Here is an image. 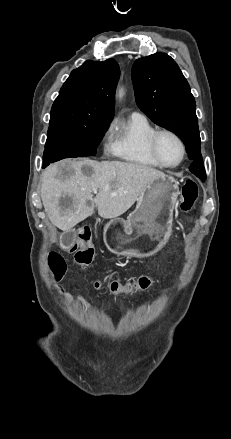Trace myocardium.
I'll return each instance as SVG.
<instances>
[{"instance_id":"obj_1","label":"myocardium","mask_w":231,"mask_h":439,"mask_svg":"<svg viewBox=\"0 0 231 439\" xmlns=\"http://www.w3.org/2000/svg\"><path fill=\"white\" fill-rule=\"evenodd\" d=\"M164 134H167V135H170V136H172L178 143H179V145H180V148H181V158H180V160L176 163V164H173V165H169V164H167V163H165L162 159H161V157H160V155H159V153H158V148H157V144H158V139H159V137L161 136V135H164ZM148 150H149V153H150V155H151V157L161 166V167H163V168H168V169H173V168H176V167H178V166H180L181 164H182V162L184 161V159H185V156H186V145H185V143H184V141H183V139L176 133V132H174L173 130H170V129H159V130H155L152 134H151V136L149 137V139H148Z\"/></svg>"}]
</instances>
